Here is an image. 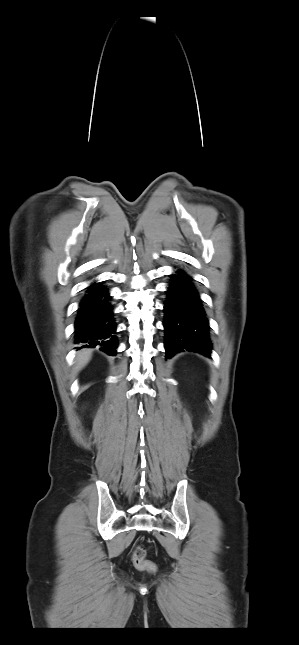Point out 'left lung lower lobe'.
<instances>
[{"instance_id":"left-lung-lower-lobe-1","label":"left lung lower lobe","mask_w":299,"mask_h":645,"mask_svg":"<svg viewBox=\"0 0 299 645\" xmlns=\"http://www.w3.org/2000/svg\"><path fill=\"white\" fill-rule=\"evenodd\" d=\"M164 304L166 358L190 351L210 356L209 322L199 294L184 271L171 275Z\"/></svg>"}]
</instances>
